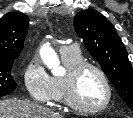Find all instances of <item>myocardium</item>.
<instances>
[{"label": "myocardium", "mask_w": 133, "mask_h": 118, "mask_svg": "<svg viewBox=\"0 0 133 118\" xmlns=\"http://www.w3.org/2000/svg\"><path fill=\"white\" fill-rule=\"evenodd\" d=\"M87 69L96 71L101 77L106 88L107 95L105 101L101 105L96 107H87L81 104L77 97V85L79 78L81 74ZM64 96L66 104L73 110L87 114H97L107 109L111 104L113 89L109 77L100 66L91 62H81L71 68L65 75Z\"/></svg>", "instance_id": "1"}]
</instances>
